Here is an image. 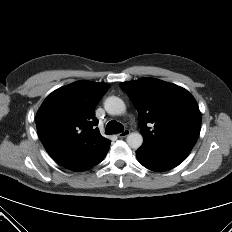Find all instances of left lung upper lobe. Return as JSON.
Segmentation results:
<instances>
[{
    "mask_svg": "<svg viewBox=\"0 0 232 232\" xmlns=\"http://www.w3.org/2000/svg\"><path fill=\"white\" fill-rule=\"evenodd\" d=\"M120 87L139 113L142 145H195L200 133L201 115L196 100L187 90L154 78L123 82ZM151 124L152 129L149 127Z\"/></svg>",
    "mask_w": 232,
    "mask_h": 232,
    "instance_id": "5c2ea615",
    "label": "left lung upper lobe"
}]
</instances>
